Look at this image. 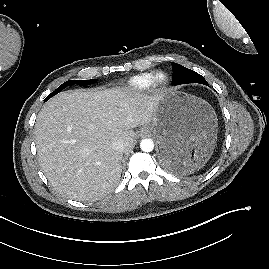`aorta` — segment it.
<instances>
[{
    "instance_id": "obj_1",
    "label": "aorta",
    "mask_w": 269,
    "mask_h": 269,
    "mask_svg": "<svg viewBox=\"0 0 269 269\" xmlns=\"http://www.w3.org/2000/svg\"><path fill=\"white\" fill-rule=\"evenodd\" d=\"M140 148L144 152H151L154 149V142L151 139H143Z\"/></svg>"
}]
</instances>
